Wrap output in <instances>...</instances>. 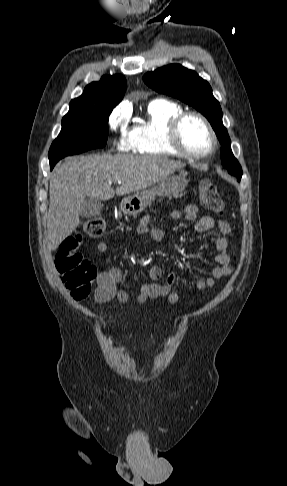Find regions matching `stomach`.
<instances>
[{
    "label": "stomach",
    "mask_w": 287,
    "mask_h": 486,
    "mask_svg": "<svg viewBox=\"0 0 287 486\" xmlns=\"http://www.w3.org/2000/svg\"><path fill=\"white\" fill-rule=\"evenodd\" d=\"M188 180L182 175H169L151 187L138 191L122 199L120 209L124 214L133 215L143 211L157 197L164 198L183 191Z\"/></svg>",
    "instance_id": "1"
}]
</instances>
